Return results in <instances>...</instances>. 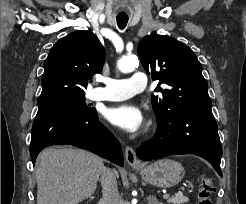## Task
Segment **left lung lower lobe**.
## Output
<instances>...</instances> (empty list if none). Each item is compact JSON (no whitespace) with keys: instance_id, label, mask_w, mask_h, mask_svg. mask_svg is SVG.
<instances>
[{"instance_id":"1","label":"left lung lower lobe","mask_w":246,"mask_h":204,"mask_svg":"<svg viewBox=\"0 0 246 204\" xmlns=\"http://www.w3.org/2000/svg\"><path fill=\"white\" fill-rule=\"evenodd\" d=\"M176 154L203 157L222 177V146L211 108L175 112L168 119L158 122L154 137L137 150V157L145 161Z\"/></svg>"}]
</instances>
